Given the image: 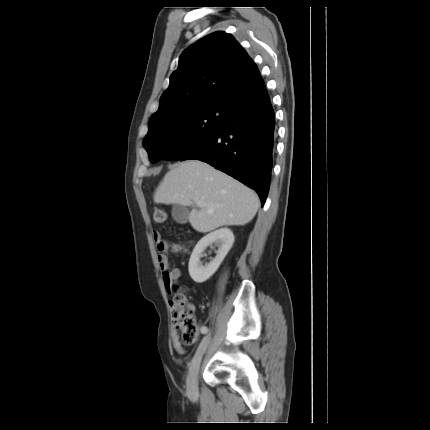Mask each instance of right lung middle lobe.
<instances>
[{"instance_id":"obj_1","label":"right lung middle lobe","mask_w":430,"mask_h":430,"mask_svg":"<svg viewBox=\"0 0 430 430\" xmlns=\"http://www.w3.org/2000/svg\"><path fill=\"white\" fill-rule=\"evenodd\" d=\"M225 116L224 106L208 103L150 125L143 141L150 161L182 159L218 133Z\"/></svg>"}]
</instances>
